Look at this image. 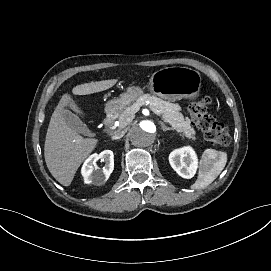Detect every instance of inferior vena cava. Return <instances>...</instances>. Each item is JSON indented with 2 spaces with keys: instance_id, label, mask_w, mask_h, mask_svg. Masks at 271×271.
Segmentation results:
<instances>
[{
  "instance_id": "602c4592",
  "label": "inferior vena cava",
  "mask_w": 271,
  "mask_h": 271,
  "mask_svg": "<svg viewBox=\"0 0 271 271\" xmlns=\"http://www.w3.org/2000/svg\"><path fill=\"white\" fill-rule=\"evenodd\" d=\"M124 134H125L124 131H118V130H116V131H114V132L112 133L111 139H113V140H115V139H120V138H122V137L124 136Z\"/></svg>"
}]
</instances>
